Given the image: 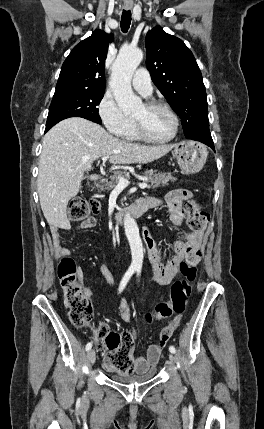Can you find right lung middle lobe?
<instances>
[{"instance_id":"obj_1","label":"right lung middle lobe","mask_w":264,"mask_h":429,"mask_svg":"<svg viewBox=\"0 0 264 429\" xmlns=\"http://www.w3.org/2000/svg\"><path fill=\"white\" fill-rule=\"evenodd\" d=\"M104 91L87 89L56 90L50 105L45 132L59 121L69 117H82L101 124L98 108Z\"/></svg>"}]
</instances>
